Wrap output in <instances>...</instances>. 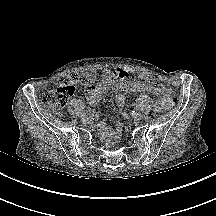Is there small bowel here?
<instances>
[{"label": "small bowel", "mask_w": 216, "mask_h": 216, "mask_svg": "<svg viewBox=\"0 0 216 216\" xmlns=\"http://www.w3.org/2000/svg\"><path fill=\"white\" fill-rule=\"evenodd\" d=\"M91 81L84 89L85 96L92 105H96L107 91H115L118 94L114 97V103L122 107L126 102V97L121 92H141L147 91L156 95L154 108L160 111L163 108L165 93L168 88L158 84L150 73H143L135 79H130L127 71L117 68L114 71L105 70L101 79L96 83L94 77L89 75ZM122 125H117L116 133L111 139H116L122 132Z\"/></svg>", "instance_id": "small-bowel-1"}]
</instances>
